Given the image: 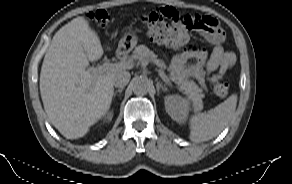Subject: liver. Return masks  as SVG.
Instances as JSON below:
<instances>
[{
  "label": "liver",
  "instance_id": "liver-1",
  "mask_svg": "<svg viewBox=\"0 0 292 184\" xmlns=\"http://www.w3.org/2000/svg\"><path fill=\"white\" fill-rule=\"evenodd\" d=\"M104 53L97 33L83 16L54 35L40 73V94L53 126L67 139L83 137L110 108L113 78L125 68L86 70Z\"/></svg>",
  "mask_w": 292,
  "mask_h": 184
}]
</instances>
